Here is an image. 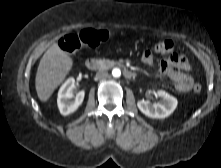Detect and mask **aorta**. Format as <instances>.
Segmentation results:
<instances>
[{"instance_id":"1","label":"aorta","mask_w":221,"mask_h":168,"mask_svg":"<svg viewBox=\"0 0 221 168\" xmlns=\"http://www.w3.org/2000/svg\"><path fill=\"white\" fill-rule=\"evenodd\" d=\"M112 75L115 78H119L121 76V70L119 68H114L112 70Z\"/></svg>"}]
</instances>
